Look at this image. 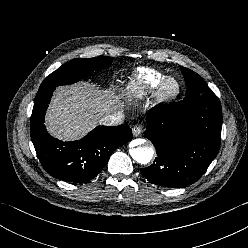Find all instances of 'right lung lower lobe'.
<instances>
[{
  "instance_id": "98d812e1",
  "label": "right lung lower lobe",
  "mask_w": 248,
  "mask_h": 248,
  "mask_svg": "<svg viewBox=\"0 0 248 248\" xmlns=\"http://www.w3.org/2000/svg\"><path fill=\"white\" fill-rule=\"evenodd\" d=\"M54 87L39 90L31 116V138L45 171L54 178L83 183L94 178L106 165L112 152L132 139L127 124L98 126L84 138L63 142L46 131L44 116Z\"/></svg>"
}]
</instances>
